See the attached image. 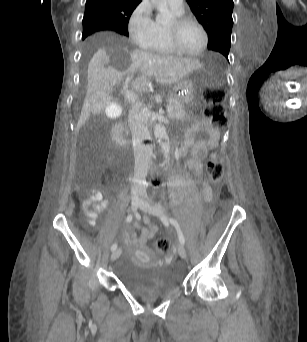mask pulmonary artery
Listing matches in <instances>:
<instances>
[{"mask_svg":"<svg viewBox=\"0 0 307 342\" xmlns=\"http://www.w3.org/2000/svg\"><path fill=\"white\" fill-rule=\"evenodd\" d=\"M175 14H182L184 1H164Z\"/></svg>","mask_w":307,"mask_h":342,"instance_id":"obj_1","label":"pulmonary artery"}]
</instances>
